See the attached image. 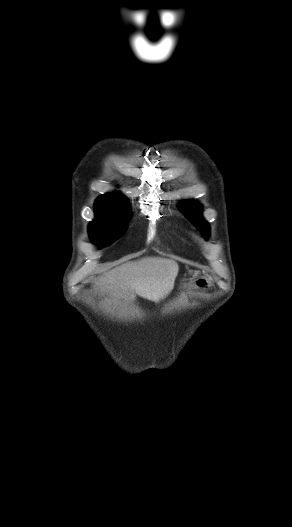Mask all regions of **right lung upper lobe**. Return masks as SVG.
I'll return each instance as SVG.
<instances>
[{
    "label": "right lung upper lobe",
    "instance_id": "cb5924a9",
    "mask_svg": "<svg viewBox=\"0 0 292 527\" xmlns=\"http://www.w3.org/2000/svg\"><path fill=\"white\" fill-rule=\"evenodd\" d=\"M97 202L128 207V204L125 198L121 194H118V193L103 195L99 197Z\"/></svg>",
    "mask_w": 292,
    "mask_h": 527
}]
</instances>
